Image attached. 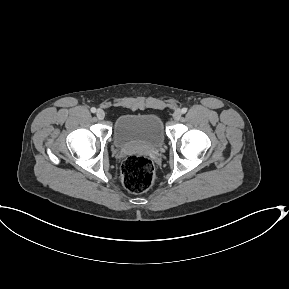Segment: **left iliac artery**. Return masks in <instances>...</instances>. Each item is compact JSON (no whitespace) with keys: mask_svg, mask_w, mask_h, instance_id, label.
Returning a JSON list of instances; mask_svg holds the SVG:
<instances>
[{"mask_svg":"<svg viewBox=\"0 0 289 289\" xmlns=\"http://www.w3.org/2000/svg\"><path fill=\"white\" fill-rule=\"evenodd\" d=\"M181 112L184 114V113H186L187 112V108H182V110H181Z\"/></svg>","mask_w":289,"mask_h":289,"instance_id":"left-iliac-artery-1","label":"left iliac artery"}]
</instances>
